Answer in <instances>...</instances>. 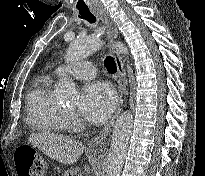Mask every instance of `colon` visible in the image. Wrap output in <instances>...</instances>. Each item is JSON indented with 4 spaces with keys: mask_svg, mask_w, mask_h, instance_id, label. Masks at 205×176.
<instances>
[{
    "mask_svg": "<svg viewBox=\"0 0 205 176\" xmlns=\"http://www.w3.org/2000/svg\"><path fill=\"white\" fill-rule=\"evenodd\" d=\"M18 176H43L45 160L34 149L21 147L14 154Z\"/></svg>",
    "mask_w": 205,
    "mask_h": 176,
    "instance_id": "1",
    "label": "colon"
}]
</instances>
